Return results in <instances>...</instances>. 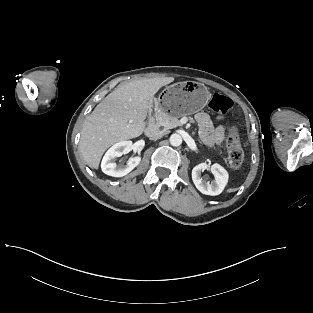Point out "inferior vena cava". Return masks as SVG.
Returning <instances> with one entry per match:
<instances>
[{
	"instance_id": "1",
	"label": "inferior vena cava",
	"mask_w": 313,
	"mask_h": 313,
	"mask_svg": "<svg viewBox=\"0 0 313 313\" xmlns=\"http://www.w3.org/2000/svg\"><path fill=\"white\" fill-rule=\"evenodd\" d=\"M166 132L164 130H148L147 135L150 137L152 140H156L164 136Z\"/></svg>"
}]
</instances>
